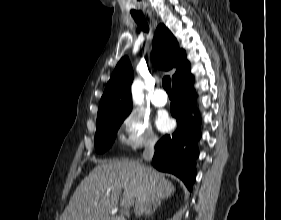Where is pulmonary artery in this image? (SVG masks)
Here are the masks:
<instances>
[{"instance_id": "1", "label": "pulmonary artery", "mask_w": 281, "mask_h": 220, "mask_svg": "<svg viewBox=\"0 0 281 220\" xmlns=\"http://www.w3.org/2000/svg\"><path fill=\"white\" fill-rule=\"evenodd\" d=\"M152 103L155 106L163 107L167 104V95L162 88H157L152 95Z\"/></svg>"}]
</instances>
